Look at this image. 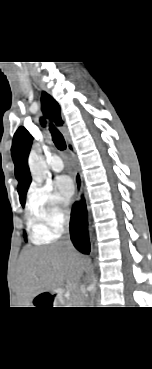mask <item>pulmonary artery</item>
I'll return each mask as SVG.
<instances>
[{"mask_svg":"<svg viewBox=\"0 0 152 369\" xmlns=\"http://www.w3.org/2000/svg\"><path fill=\"white\" fill-rule=\"evenodd\" d=\"M50 166L55 172H60L64 169V163L58 155H53L51 157Z\"/></svg>","mask_w":152,"mask_h":369,"instance_id":"obj_1","label":"pulmonary artery"}]
</instances>
